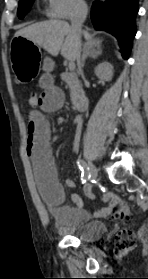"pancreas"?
<instances>
[{
  "label": "pancreas",
  "mask_w": 148,
  "mask_h": 279,
  "mask_svg": "<svg viewBox=\"0 0 148 279\" xmlns=\"http://www.w3.org/2000/svg\"><path fill=\"white\" fill-rule=\"evenodd\" d=\"M61 79L67 84L70 89V97L73 103H76L80 97L83 96V89L77 74L74 72H64Z\"/></svg>",
  "instance_id": "cf45deb5"
}]
</instances>
